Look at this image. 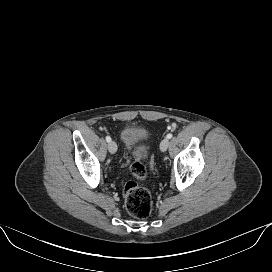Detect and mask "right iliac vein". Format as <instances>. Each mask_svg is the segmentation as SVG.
I'll return each mask as SVG.
<instances>
[{
	"instance_id": "right-iliac-vein-1",
	"label": "right iliac vein",
	"mask_w": 272,
	"mask_h": 272,
	"mask_svg": "<svg viewBox=\"0 0 272 272\" xmlns=\"http://www.w3.org/2000/svg\"><path fill=\"white\" fill-rule=\"evenodd\" d=\"M108 150L111 154H114L117 151V144L114 141L109 142Z\"/></svg>"
}]
</instances>
